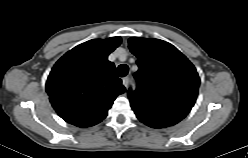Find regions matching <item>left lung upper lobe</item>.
Masks as SVG:
<instances>
[{"label": "left lung upper lobe", "mask_w": 248, "mask_h": 158, "mask_svg": "<svg viewBox=\"0 0 248 158\" xmlns=\"http://www.w3.org/2000/svg\"><path fill=\"white\" fill-rule=\"evenodd\" d=\"M138 58L137 89L129 99L137 118L153 128L180 122L194 106L200 79L193 64L173 45L159 39L131 37Z\"/></svg>", "instance_id": "left-lung-upper-lobe-1"}]
</instances>
